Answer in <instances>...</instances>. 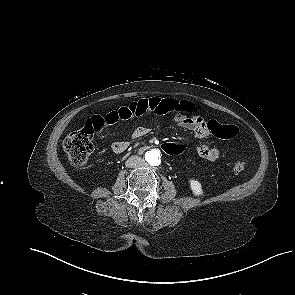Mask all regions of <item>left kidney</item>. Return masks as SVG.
Wrapping results in <instances>:
<instances>
[{"instance_id": "5707ae66", "label": "left kidney", "mask_w": 295, "mask_h": 295, "mask_svg": "<svg viewBox=\"0 0 295 295\" xmlns=\"http://www.w3.org/2000/svg\"><path fill=\"white\" fill-rule=\"evenodd\" d=\"M190 188L195 196H200L203 194L201 183L198 180H189Z\"/></svg>"}]
</instances>
